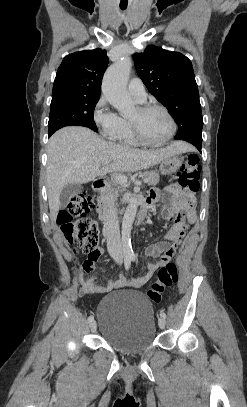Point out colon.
Masks as SVG:
<instances>
[{
    "instance_id": "1",
    "label": "colon",
    "mask_w": 247,
    "mask_h": 407,
    "mask_svg": "<svg viewBox=\"0 0 247 407\" xmlns=\"http://www.w3.org/2000/svg\"><path fill=\"white\" fill-rule=\"evenodd\" d=\"M199 157L196 154L185 156L184 164L178 174V183L182 189L191 193L199 190L200 178ZM95 207V198L85 192L73 195L67 207L62 210L57 223L65 239L70 243H75L88 256H94L99 243L98 224L87 217V214ZM178 280V267L175 263L169 262L160 267L157 271L156 280L148 289L147 295L153 302H160L162 293L166 288L174 285Z\"/></svg>"
}]
</instances>
